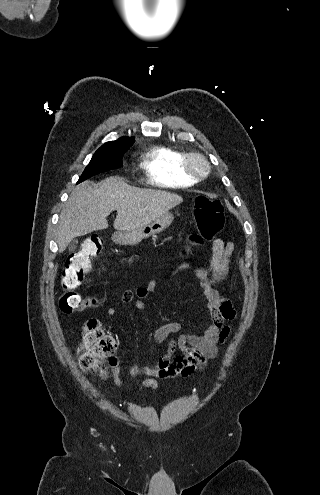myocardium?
Returning a JSON list of instances; mask_svg holds the SVG:
<instances>
[{"label": "myocardium", "mask_w": 320, "mask_h": 495, "mask_svg": "<svg viewBox=\"0 0 320 495\" xmlns=\"http://www.w3.org/2000/svg\"><path fill=\"white\" fill-rule=\"evenodd\" d=\"M183 171L194 180L207 177L211 170L208 159L199 152L185 153L182 159Z\"/></svg>", "instance_id": "obj_1"}]
</instances>
